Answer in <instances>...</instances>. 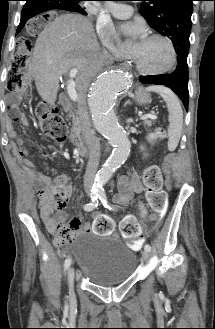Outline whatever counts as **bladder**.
Masks as SVG:
<instances>
[{
	"label": "bladder",
	"instance_id": "1",
	"mask_svg": "<svg viewBox=\"0 0 215 329\" xmlns=\"http://www.w3.org/2000/svg\"><path fill=\"white\" fill-rule=\"evenodd\" d=\"M72 250L79 276L92 284L124 282L133 276L137 267L135 253L114 236L84 234Z\"/></svg>",
	"mask_w": 215,
	"mask_h": 329
}]
</instances>
